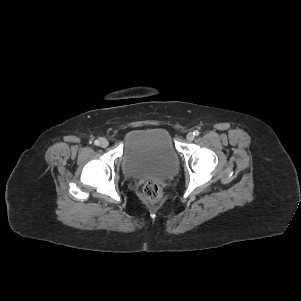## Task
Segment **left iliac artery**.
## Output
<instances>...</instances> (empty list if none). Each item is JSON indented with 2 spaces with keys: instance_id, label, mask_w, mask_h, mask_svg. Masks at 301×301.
<instances>
[{
  "instance_id": "left-iliac-artery-1",
  "label": "left iliac artery",
  "mask_w": 301,
  "mask_h": 301,
  "mask_svg": "<svg viewBox=\"0 0 301 301\" xmlns=\"http://www.w3.org/2000/svg\"><path fill=\"white\" fill-rule=\"evenodd\" d=\"M199 131L198 130H195L194 132H193V134L195 135V136H198L199 135Z\"/></svg>"
}]
</instances>
